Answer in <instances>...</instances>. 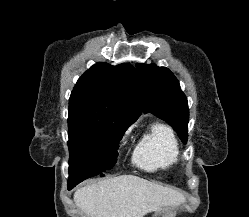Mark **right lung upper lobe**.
I'll use <instances>...</instances> for the list:
<instances>
[{"label":"right lung upper lobe","mask_w":249,"mask_h":217,"mask_svg":"<svg viewBox=\"0 0 249 217\" xmlns=\"http://www.w3.org/2000/svg\"><path fill=\"white\" fill-rule=\"evenodd\" d=\"M70 104H89L133 123L144 109L141 84L132 65L98 63L77 81Z\"/></svg>","instance_id":"obj_1"}]
</instances>
